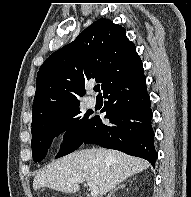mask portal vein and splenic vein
<instances>
[{"label":"portal vein and splenic vein","mask_w":191,"mask_h":197,"mask_svg":"<svg viewBox=\"0 0 191 197\" xmlns=\"http://www.w3.org/2000/svg\"><path fill=\"white\" fill-rule=\"evenodd\" d=\"M73 182L81 183V182H83V180L82 179H75ZM87 185L89 186V188L91 190V197H97V195L99 193L98 187H96L94 183L89 182V181H87Z\"/></svg>","instance_id":"18ae733b"}]
</instances>
